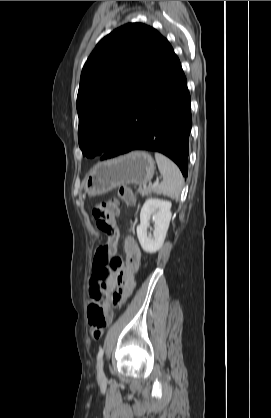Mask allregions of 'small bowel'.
Wrapping results in <instances>:
<instances>
[{
	"mask_svg": "<svg viewBox=\"0 0 271 418\" xmlns=\"http://www.w3.org/2000/svg\"><path fill=\"white\" fill-rule=\"evenodd\" d=\"M126 262L121 271L106 278L102 283L104 291L113 295V303L118 305L125 301L133 292L135 287L134 273L139 269L141 252L137 243L128 238L125 242ZM97 283L93 276L90 281L91 298ZM117 287H119L117 289Z\"/></svg>",
	"mask_w": 271,
	"mask_h": 418,
	"instance_id": "c3829d8e",
	"label": "small bowel"
}]
</instances>
